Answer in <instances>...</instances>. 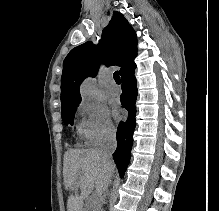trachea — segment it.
<instances>
[{
  "label": "trachea",
  "instance_id": "trachea-1",
  "mask_svg": "<svg viewBox=\"0 0 219 211\" xmlns=\"http://www.w3.org/2000/svg\"><path fill=\"white\" fill-rule=\"evenodd\" d=\"M113 78H114V80L116 81V83H117L118 85L121 84V79H120V76H119V72H118V71H115V73L113 74Z\"/></svg>",
  "mask_w": 219,
  "mask_h": 211
}]
</instances>
